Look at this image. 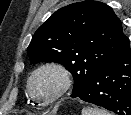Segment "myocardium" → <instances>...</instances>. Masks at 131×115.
<instances>
[{"instance_id": "f54148a6", "label": "myocardium", "mask_w": 131, "mask_h": 115, "mask_svg": "<svg viewBox=\"0 0 131 115\" xmlns=\"http://www.w3.org/2000/svg\"><path fill=\"white\" fill-rule=\"evenodd\" d=\"M43 71H52L54 72L60 80V84L56 92L49 98L42 99L38 97L33 90V81L34 78ZM71 86V73L63 64L58 62H46L38 66L33 70L27 81V90L32 99L42 105H50L59 100Z\"/></svg>"}]
</instances>
